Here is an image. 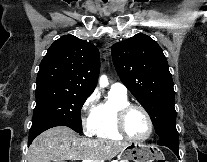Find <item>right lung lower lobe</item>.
Returning a JSON list of instances; mask_svg holds the SVG:
<instances>
[{"instance_id": "right-lung-lower-lobe-1", "label": "right lung lower lobe", "mask_w": 207, "mask_h": 162, "mask_svg": "<svg viewBox=\"0 0 207 162\" xmlns=\"http://www.w3.org/2000/svg\"><path fill=\"white\" fill-rule=\"evenodd\" d=\"M56 126H62V125L57 124V123H52V122H45V123H39L35 126H32L29 131L28 146L34 140V138L38 136L40 133H42L43 131L49 128L56 127Z\"/></svg>"}]
</instances>
